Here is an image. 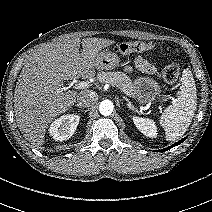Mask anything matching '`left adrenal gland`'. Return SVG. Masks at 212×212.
I'll return each mask as SVG.
<instances>
[{
  "label": "left adrenal gland",
  "mask_w": 212,
  "mask_h": 212,
  "mask_svg": "<svg viewBox=\"0 0 212 212\" xmlns=\"http://www.w3.org/2000/svg\"><path fill=\"white\" fill-rule=\"evenodd\" d=\"M125 100L128 102L127 103L128 108L134 110V107L131 105V102L127 98H125Z\"/></svg>",
  "instance_id": "left-adrenal-gland-1"
}]
</instances>
